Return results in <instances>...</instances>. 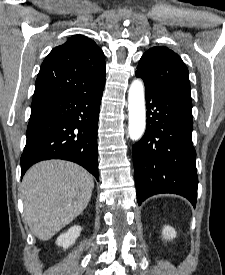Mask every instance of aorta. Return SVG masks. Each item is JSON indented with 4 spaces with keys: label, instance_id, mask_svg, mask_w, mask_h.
Returning a JSON list of instances; mask_svg holds the SVG:
<instances>
[{
    "label": "aorta",
    "instance_id": "762f6f07",
    "mask_svg": "<svg viewBox=\"0 0 225 275\" xmlns=\"http://www.w3.org/2000/svg\"><path fill=\"white\" fill-rule=\"evenodd\" d=\"M128 134L131 140L137 141L144 134L146 127V111L144 99V84L141 79H135L128 93Z\"/></svg>",
    "mask_w": 225,
    "mask_h": 275
}]
</instances>
